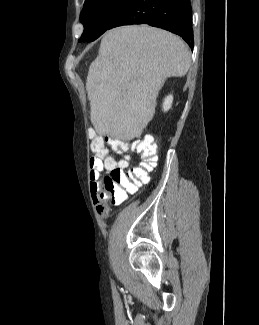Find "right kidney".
Returning <instances> with one entry per match:
<instances>
[{
  "label": "right kidney",
  "mask_w": 259,
  "mask_h": 325,
  "mask_svg": "<svg viewBox=\"0 0 259 325\" xmlns=\"http://www.w3.org/2000/svg\"><path fill=\"white\" fill-rule=\"evenodd\" d=\"M172 102H173V96L172 95H169L164 99L163 110L165 112L168 111L171 108Z\"/></svg>",
  "instance_id": "obj_1"
}]
</instances>
